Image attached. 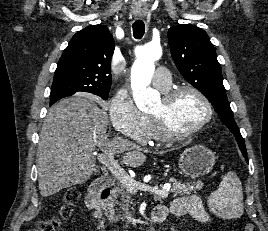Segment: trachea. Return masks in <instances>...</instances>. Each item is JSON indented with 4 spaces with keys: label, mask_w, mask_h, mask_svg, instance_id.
<instances>
[{
    "label": "trachea",
    "mask_w": 268,
    "mask_h": 231,
    "mask_svg": "<svg viewBox=\"0 0 268 231\" xmlns=\"http://www.w3.org/2000/svg\"><path fill=\"white\" fill-rule=\"evenodd\" d=\"M133 35L136 39H141L145 33V24L142 20H137L133 23Z\"/></svg>",
    "instance_id": "3493384b"
}]
</instances>
